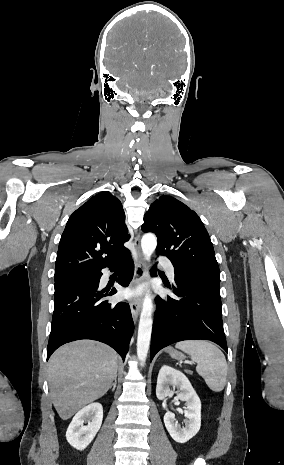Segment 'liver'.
<instances>
[{"mask_svg":"<svg viewBox=\"0 0 284 465\" xmlns=\"http://www.w3.org/2000/svg\"><path fill=\"white\" fill-rule=\"evenodd\" d=\"M117 361L114 349L95 341H75L55 351L48 365V381L52 403L63 421L107 393Z\"/></svg>","mask_w":284,"mask_h":465,"instance_id":"liver-1","label":"liver"}]
</instances>
